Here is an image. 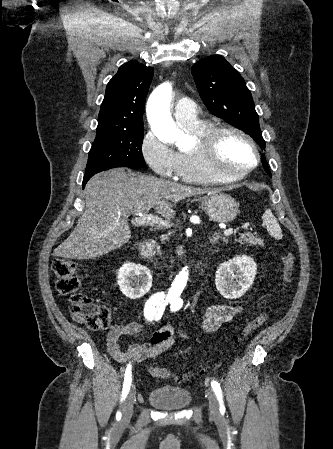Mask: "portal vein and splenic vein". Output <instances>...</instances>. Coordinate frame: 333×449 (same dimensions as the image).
Masks as SVG:
<instances>
[{"label": "portal vein and splenic vein", "mask_w": 333, "mask_h": 449, "mask_svg": "<svg viewBox=\"0 0 333 449\" xmlns=\"http://www.w3.org/2000/svg\"><path fill=\"white\" fill-rule=\"evenodd\" d=\"M132 223L136 226L147 225V226L167 227V228H170L172 226L169 221L159 218L158 216L141 213L136 214V217L134 218ZM235 232L236 229L229 228L224 231V235L230 236Z\"/></svg>", "instance_id": "portal-vein-and-splenic-vein-1"}]
</instances>
